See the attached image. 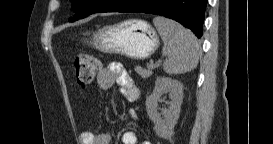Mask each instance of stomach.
Returning a JSON list of instances; mask_svg holds the SVG:
<instances>
[{
  "label": "stomach",
  "instance_id": "stomach-1",
  "mask_svg": "<svg viewBox=\"0 0 273 144\" xmlns=\"http://www.w3.org/2000/svg\"><path fill=\"white\" fill-rule=\"evenodd\" d=\"M90 44L101 52L138 60L150 57L160 42L155 30L147 22L126 20L99 29Z\"/></svg>",
  "mask_w": 273,
  "mask_h": 144
}]
</instances>
